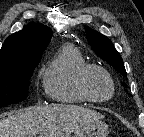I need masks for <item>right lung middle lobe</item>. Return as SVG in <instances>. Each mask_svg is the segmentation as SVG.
<instances>
[{"label": "right lung middle lobe", "instance_id": "dd1d6c3e", "mask_svg": "<svg viewBox=\"0 0 144 137\" xmlns=\"http://www.w3.org/2000/svg\"><path fill=\"white\" fill-rule=\"evenodd\" d=\"M39 61L0 65V108L27 98L29 79Z\"/></svg>", "mask_w": 144, "mask_h": 137}]
</instances>
